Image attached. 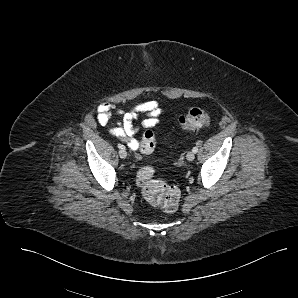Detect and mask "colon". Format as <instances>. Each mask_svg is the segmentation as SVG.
<instances>
[{
  "instance_id": "1",
  "label": "colon",
  "mask_w": 298,
  "mask_h": 298,
  "mask_svg": "<svg viewBox=\"0 0 298 298\" xmlns=\"http://www.w3.org/2000/svg\"><path fill=\"white\" fill-rule=\"evenodd\" d=\"M179 123L185 130L206 128L211 124V117L206 110L193 107L179 117ZM156 146V137L153 131L146 130L139 143V150L143 154H150ZM137 183L146 200L153 206L166 212L177 209L180 201V190L174 185L167 184L154 178V169L150 166L142 167L137 174Z\"/></svg>"
}]
</instances>
